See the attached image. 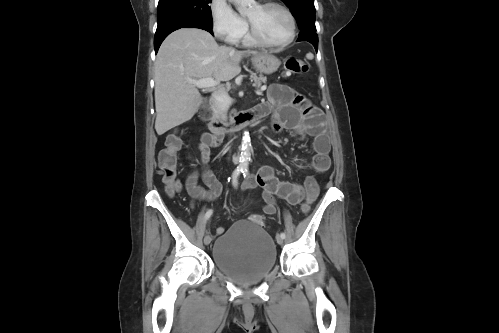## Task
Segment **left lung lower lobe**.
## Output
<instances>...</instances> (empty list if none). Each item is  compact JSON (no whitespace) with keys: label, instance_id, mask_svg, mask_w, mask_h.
Wrapping results in <instances>:
<instances>
[{"label":"left lung lower lobe","instance_id":"left-lung-lower-lobe-1","mask_svg":"<svg viewBox=\"0 0 499 333\" xmlns=\"http://www.w3.org/2000/svg\"><path fill=\"white\" fill-rule=\"evenodd\" d=\"M297 41H307L310 42L314 47L317 52L318 50V37L315 32L309 31V30H301L299 38Z\"/></svg>","mask_w":499,"mask_h":333}]
</instances>
